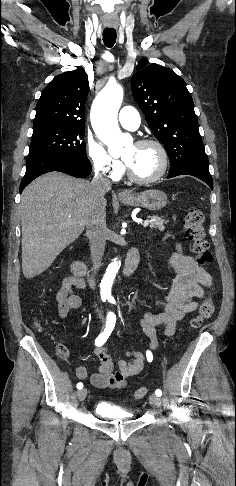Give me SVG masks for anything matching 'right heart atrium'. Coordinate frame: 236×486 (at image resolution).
Here are the masks:
<instances>
[{
    "label": "right heart atrium",
    "mask_w": 236,
    "mask_h": 486,
    "mask_svg": "<svg viewBox=\"0 0 236 486\" xmlns=\"http://www.w3.org/2000/svg\"><path fill=\"white\" fill-rule=\"evenodd\" d=\"M88 158L94 171L111 180L118 179L123 171V164L112 157L105 146L96 139H89L86 146Z\"/></svg>",
    "instance_id": "right-heart-atrium-1"
}]
</instances>
